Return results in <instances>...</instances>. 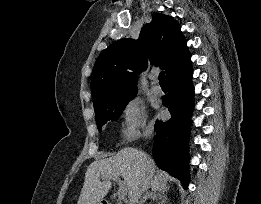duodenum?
<instances>
[{"label":"duodenum","mask_w":261,"mask_h":204,"mask_svg":"<svg viewBox=\"0 0 261 204\" xmlns=\"http://www.w3.org/2000/svg\"><path fill=\"white\" fill-rule=\"evenodd\" d=\"M103 204H111V203L105 202V203H103Z\"/></svg>","instance_id":"duodenum-1"}]
</instances>
